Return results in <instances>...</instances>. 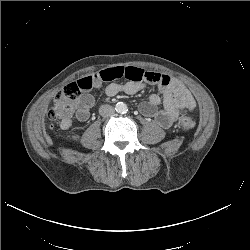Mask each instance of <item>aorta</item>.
Returning a JSON list of instances; mask_svg holds the SVG:
<instances>
[{
	"label": "aorta",
	"instance_id": "obj_1",
	"mask_svg": "<svg viewBox=\"0 0 250 250\" xmlns=\"http://www.w3.org/2000/svg\"><path fill=\"white\" fill-rule=\"evenodd\" d=\"M115 110L117 113L124 114L127 112V105L123 102H118L115 106Z\"/></svg>",
	"mask_w": 250,
	"mask_h": 250
}]
</instances>
